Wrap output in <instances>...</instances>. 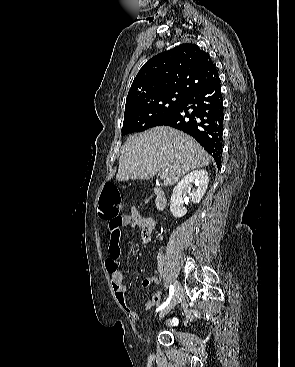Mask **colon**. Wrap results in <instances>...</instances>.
Masks as SVG:
<instances>
[{"instance_id": "5ec220e1", "label": "colon", "mask_w": 295, "mask_h": 367, "mask_svg": "<svg viewBox=\"0 0 295 367\" xmlns=\"http://www.w3.org/2000/svg\"><path fill=\"white\" fill-rule=\"evenodd\" d=\"M124 209V200L114 183H106L100 199V212L105 220L117 221Z\"/></svg>"}]
</instances>
